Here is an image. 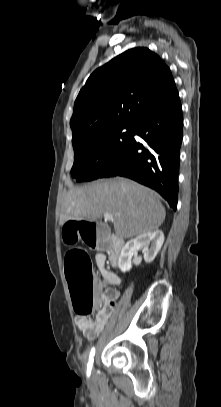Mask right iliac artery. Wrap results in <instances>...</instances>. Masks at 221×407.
Segmentation results:
<instances>
[{
	"mask_svg": "<svg viewBox=\"0 0 221 407\" xmlns=\"http://www.w3.org/2000/svg\"><path fill=\"white\" fill-rule=\"evenodd\" d=\"M94 355H95V348L93 347L90 351V355H89V362L87 365V375L89 376L91 373V369H92V365L94 362Z\"/></svg>",
	"mask_w": 221,
	"mask_h": 407,
	"instance_id": "obj_1",
	"label": "right iliac artery"
}]
</instances>
